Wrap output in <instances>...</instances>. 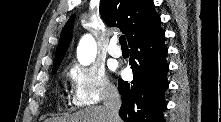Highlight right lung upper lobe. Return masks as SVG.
I'll return each mask as SVG.
<instances>
[{
  "instance_id": "1",
  "label": "right lung upper lobe",
  "mask_w": 221,
  "mask_h": 122,
  "mask_svg": "<svg viewBox=\"0 0 221 122\" xmlns=\"http://www.w3.org/2000/svg\"><path fill=\"white\" fill-rule=\"evenodd\" d=\"M100 14L111 27H119L129 44L160 21L152 0H100ZM74 15L65 24L56 50L53 70L58 69L72 38Z\"/></svg>"
}]
</instances>
